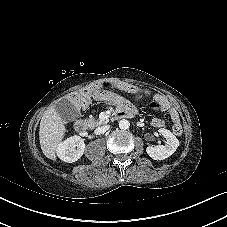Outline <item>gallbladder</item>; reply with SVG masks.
<instances>
[{"instance_id":"gallbladder-1","label":"gallbladder","mask_w":227,"mask_h":227,"mask_svg":"<svg viewBox=\"0 0 227 227\" xmlns=\"http://www.w3.org/2000/svg\"><path fill=\"white\" fill-rule=\"evenodd\" d=\"M58 112L67 119H74L79 115L75 106L67 99H62L57 103Z\"/></svg>"}]
</instances>
